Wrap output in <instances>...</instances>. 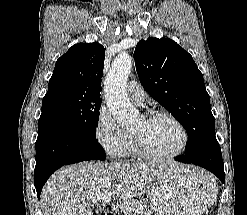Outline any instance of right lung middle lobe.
Wrapping results in <instances>:
<instances>
[{"label": "right lung middle lobe", "mask_w": 247, "mask_h": 215, "mask_svg": "<svg viewBox=\"0 0 247 215\" xmlns=\"http://www.w3.org/2000/svg\"><path fill=\"white\" fill-rule=\"evenodd\" d=\"M102 99L63 88L47 92L42 102L39 128L60 125L80 130L95 137Z\"/></svg>", "instance_id": "obj_1"}]
</instances>
